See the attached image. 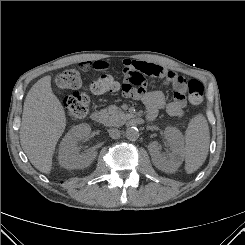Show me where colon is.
Returning a JSON list of instances; mask_svg holds the SVG:
<instances>
[{"instance_id":"colon-1","label":"colon","mask_w":245,"mask_h":245,"mask_svg":"<svg viewBox=\"0 0 245 245\" xmlns=\"http://www.w3.org/2000/svg\"><path fill=\"white\" fill-rule=\"evenodd\" d=\"M143 80V76L138 73L132 76V82L136 85H140ZM80 85V76L74 69L62 72L57 78L59 89L73 91V94L68 96L64 102L67 117L70 119H82L89 112V99L85 94L78 91ZM91 89L95 94H105L117 90L118 83L112 75L103 74L92 82ZM187 89L190 103L199 105L203 100V84L197 79H191L187 82Z\"/></svg>"}]
</instances>
